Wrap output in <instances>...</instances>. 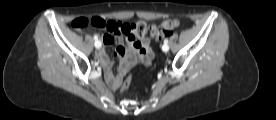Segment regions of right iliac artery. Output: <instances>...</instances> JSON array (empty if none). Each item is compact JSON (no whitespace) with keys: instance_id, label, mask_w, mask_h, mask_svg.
Here are the masks:
<instances>
[{"instance_id":"1","label":"right iliac artery","mask_w":276,"mask_h":120,"mask_svg":"<svg viewBox=\"0 0 276 120\" xmlns=\"http://www.w3.org/2000/svg\"><path fill=\"white\" fill-rule=\"evenodd\" d=\"M94 40H95V47L96 48H100L101 47V42H97L98 41V37L94 36Z\"/></svg>"}]
</instances>
